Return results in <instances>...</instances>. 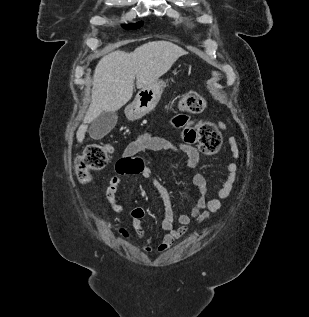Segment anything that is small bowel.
I'll return each mask as SVG.
<instances>
[{"label": "small bowel", "mask_w": 309, "mask_h": 317, "mask_svg": "<svg viewBox=\"0 0 309 317\" xmlns=\"http://www.w3.org/2000/svg\"><path fill=\"white\" fill-rule=\"evenodd\" d=\"M172 125L182 130L181 141L172 143L167 139L155 136L151 133H143L135 140L131 141L123 150L120 159L116 163V174L108 178L105 190V196L112 209L115 212L121 211V206L117 203L116 194L121 180V176L128 174H140L145 179L155 182L152 169L146 165L144 158L140 155L145 151H169L174 154H185L187 157V166L194 171L193 184L196 187L197 199L195 205L189 213L181 214L177 218L178 226H175L174 211L169 201L167 189L159 185L160 192L167 200V206L161 220V228L166 233L162 237H152L146 233L142 225V219L145 211L141 207L132 210V225L136 231L137 241L147 253L153 252V244L158 241L157 251L164 253L168 251L176 241L181 239L188 232V225L191 219L197 223L207 221L213 213L222 206V200L230 196L237 179L238 166L235 162L225 164L226 176L216 192V197L207 200V183L204 176L195 170L199 160V151L195 147L198 140L197 133L191 127V122L185 115H179L173 118ZM222 129H226L223 122L219 123ZM228 146L234 159H238L240 151L235 137H230Z\"/></svg>", "instance_id": "obj_1"}]
</instances>
